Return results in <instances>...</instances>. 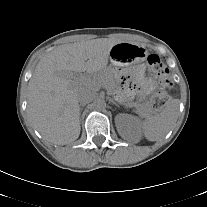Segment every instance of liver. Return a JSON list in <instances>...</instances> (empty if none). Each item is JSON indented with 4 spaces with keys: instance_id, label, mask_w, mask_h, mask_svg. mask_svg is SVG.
Listing matches in <instances>:
<instances>
[{
    "instance_id": "1",
    "label": "liver",
    "mask_w": 207,
    "mask_h": 207,
    "mask_svg": "<svg viewBox=\"0 0 207 207\" xmlns=\"http://www.w3.org/2000/svg\"><path fill=\"white\" fill-rule=\"evenodd\" d=\"M118 41L100 38L56 47L40 59L28 84L27 114L41 136L64 145L80 135L78 90L93 87L74 82L75 73L96 74L107 68Z\"/></svg>"
}]
</instances>
